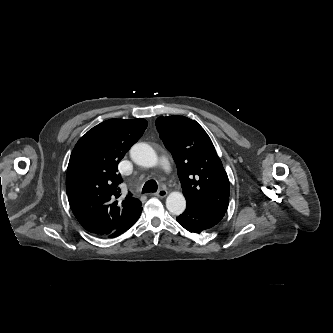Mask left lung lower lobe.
<instances>
[{
    "label": "left lung lower lobe",
    "instance_id": "0a47b994",
    "mask_svg": "<svg viewBox=\"0 0 333 333\" xmlns=\"http://www.w3.org/2000/svg\"><path fill=\"white\" fill-rule=\"evenodd\" d=\"M187 202V201H186ZM224 213L204 210L187 202L186 210L176 217L179 224L190 232L200 233L218 224Z\"/></svg>",
    "mask_w": 333,
    "mask_h": 333
}]
</instances>
